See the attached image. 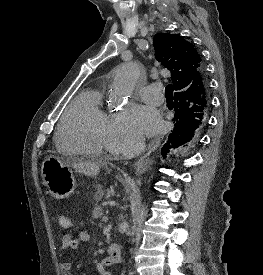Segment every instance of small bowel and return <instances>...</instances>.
<instances>
[{"mask_svg":"<svg viewBox=\"0 0 263 275\" xmlns=\"http://www.w3.org/2000/svg\"><path fill=\"white\" fill-rule=\"evenodd\" d=\"M89 241L90 235L84 230L80 231L76 237H71L70 235H66L63 237L61 246L62 261L60 263L63 275H72L71 264L64 260L66 252L76 251L78 250L80 244L88 243ZM99 272L101 275H111V273L103 267L99 269Z\"/></svg>","mask_w":263,"mask_h":275,"instance_id":"1","label":"small bowel"}]
</instances>
